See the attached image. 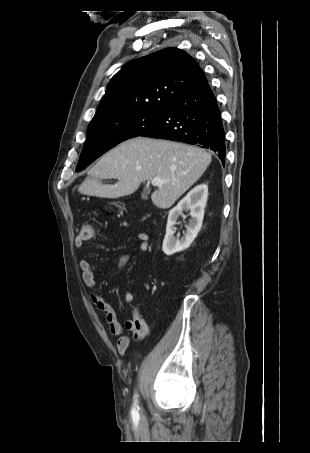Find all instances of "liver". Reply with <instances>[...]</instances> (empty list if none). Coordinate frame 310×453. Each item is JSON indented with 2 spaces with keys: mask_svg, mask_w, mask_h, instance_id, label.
Returning <instances> with one entry per match:
<instances>
[{
  "mask_svg": "<svg viewBox=\"0 0 310 453\" xmlns=\"http://www.w3.org/2000/svg\"><path fill=\"white\" fill-rule=\"evenodd\" d=\"M211 154L204 149L168 140L136 137L107 152L78 188L83 195L116 199L133 194L155 177L168 182L151 195L155 206L170 208L205 172ZM116 178L114 185L103 179Z\"/></svg>",
  "mask_w": 310,
  "mask_h": 453,
  "instance_id": "1",
  "label": "liver"
}]
</instances>
